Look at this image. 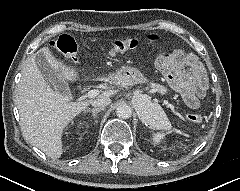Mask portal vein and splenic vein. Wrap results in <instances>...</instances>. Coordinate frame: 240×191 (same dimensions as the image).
Listing matches in <instances>:
<instances>
[{"label":"portal vein and splenic vein","mask_w":240,"mask_h":191,"mask_svg":"<svg viewBox=\"0 0 240 191\" xmlns=\"http://www.w3.org/2000/svg\"><path fill=\"white\" fill-rule=\"evenodd\" d=\"M152 92H156V91H152ZM98 95H99V90L93 89V90L88 91L85 96L87 98H94Z\"/></svg>","instance_id":"18ae733b"}]
</instances>
